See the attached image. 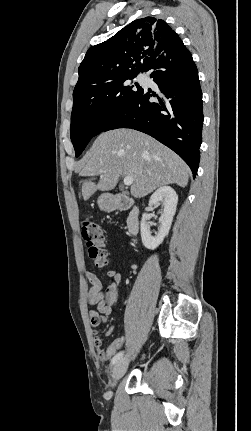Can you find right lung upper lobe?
I'll use <instances>...</instances> for the list:
<instances>
[{
	"mask_svg": "<svg viewBox=\"0 0 251 431\" xmlns=\"http://www.w3.org/2000/svg\"><path fill=\"white\" fill-rule=\"evenodd\" d=\"M184 45L165 21L147 16L133 21L113 37L87 51L73 95L125 75L145 72L167 49Z\"/></svg>",
	"mask_w": 251,
	"mask_h": 431,
	"instance_id": "cb5924a9",
	"label": "right lung upper lobe"
}]
</instances>
